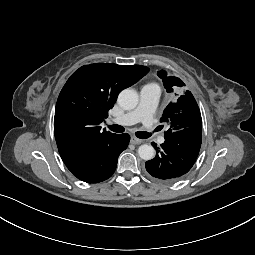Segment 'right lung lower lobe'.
<instances>
[{
    "instance_id": "obj_1",
    "label": "right lung lower lobe",
    "mask_w": 255,
    "mask_h": 255,
    "mask_svg": "<svg viewBox=\"0 0 255 255\" xmlns=\"http://www.w3.org/2000/svg\"><path fill=\"white\" fill-rule=\"evenodd\" d=\"M129 141L127 133L119 134L112 141L95 145L64 163L78 179L87 183L102 182L114 173L118 156L127 148Z\"/></svg>"
}]
</instances>
